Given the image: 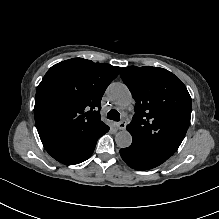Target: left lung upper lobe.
Segmentation results:
<instances>
[{
	"label": "left lung upper lobe",
	"instance_id": "left-lung-upper-lobe-1",
	"mask_svg": "<svg viewBox=\"0 0 219 219\" xmlns=\"http://www.w3.org/2000/svg\"><path fill=\"white\" fill-rule=\"evenodd\" d=\"M120 76L136 101L127 130L133 140L169 158L190 124L192 102L187 88L173 73L159 67H123Z\"/></svg>",
	"mask_w": 219,
	"mask_h": 219
}]
</instances>
